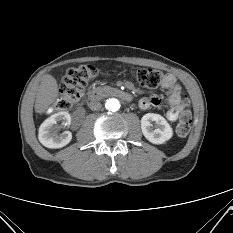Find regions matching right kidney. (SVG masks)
I'll list each match as a JSON object with an SVG mask.
<instances>
[{"mask_svg":"<svg viewBox=\"0 0 233 233\" xmlns=\"http://www.w3.org/2000/svg\"><path fill=\"white\" fill-rule=\"evenodd\" d=\"M61 123V125H58ZM71 116L68 112H58L47 118L39 128L38 138L41 144L47 148H61L66 146L72 139L70 131H64L58 135V131L70 126Z\"/></svg>","mask_w":233,"mask_h":233,"instance_id":"ca27d5eb","label":"right kidney"}]
</instances>
